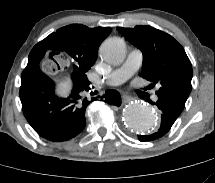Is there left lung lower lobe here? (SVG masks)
<instances>
[{
	"instance_id": "0a47b994",
	"label": "left lung lower lobe",
	"mask_w": 215,
	"mask_h": 183,
	"mask_svg": "<svg viewBox=\"0 0 215 183\" xmlns=\"http://www.w3.org/2000/svg\"><path fill=\"white\" fill-rule=\"evenodd\" d=\"M150 103L156 105L162 114L161 126L158 132L152 135H140L138 137L140 141H151L162 137L170 130L171 126L182 112L174 103L162 97H158L156 102L150 101Z\"/></svg>"
}]
</instances>
